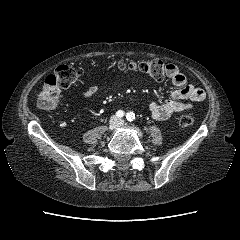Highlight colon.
Returning a JSON list of instances; mask_svg holds the SVG:
<instances>
[{
    "label": "colon",
    "mask_w": 240,
    "mask_h": 240,
    "mask_svg": "<svg viewBox=\"0 0 240 240\" xmlns=\"http://www.w3.org/2000/svg\"><path fill=\"white\" fill-rule=\"evenodd\" d=\"M110 69L120 71H135L161 81L167 76V64L159 59L138 62H113ZM84 74V70L70 65L58 66L54 73L48 76L37 98V105L43 110L55 109L60 101V89L68 88L76 83ZM195 122L192 114H183L178 123L181 128L191 127Z\"/></svg>",
    "instance_id": "1"
}]
</instances>
